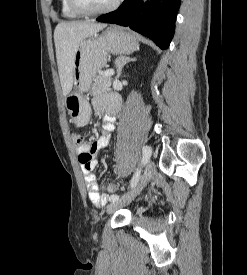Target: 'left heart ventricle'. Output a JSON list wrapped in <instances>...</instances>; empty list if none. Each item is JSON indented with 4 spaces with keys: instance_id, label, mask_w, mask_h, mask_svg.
Wrapping results in <instances>:
<instances>
[{
    "instance_id": "left-heart-ventricle-1",
    "label": "left heart ventricle",
    "mask_w": 247,
    "mask_h": 275,
    "mask_svg": "<svg viewBox=\"0 0 247 275\" xmlns=\"http://www.w3.org/2000/svg\"><path fill=\"white\" fill-rule=\"evenodd\" d=\"M76 3L87 10H97L110 5L114 0H75Z\"/></svg>"
}]
</instances>
